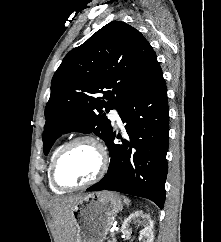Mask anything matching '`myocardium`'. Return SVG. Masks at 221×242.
Listing matches in <instances>:
<instances>
[{"instance_id": "myocardium-1", "label": "myocardium", "mask_w": 221, "mask_h": 242, "mask_svg": "<svg viewBox=\"0 0 221 242\" xmlns=\"http://www.w3.org/2000/svg\"><path fill=\"white\" fill-rule=\"evenodd\" d=\"M78 142H90L91 144H93L96 147V149L99 153L98 169L92 178H90L89 180H87L83 183L76 184V185L61 184L58 181L57 176H56L57 166H58L60 160L62 159V157L64 156V154L67 152V150L72 145H74ZM107 168H108V155H107V151H106L104 145L99 140H97L96 138H94L90 135H78V136L70 139L66 143H64L62 145V147L59 149V151L57 152V154H56L55 158L53 159L52 164L50 166V179H51V182L53 183V185L61 190H77V189L86 188V187L96 183L97 181H99L104 176L105 172L107 171Z\"/></svg>"}]
</instances>
